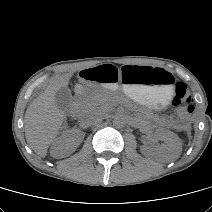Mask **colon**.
Segmentation results:
<instances>
[{
    "label": "colon",
    "mask_w": 212,
    "mask_h": 212,
    "mask_svg": "<svg viewBox=\"0 0 212 212\" xmlns=\"http://www.w3.org/2000/svg\"><path fill=\"white\" fill-rule=\"evenodd\" d=\"M173 105H175L184 116H188L193 112L194 97L186 84H176L173 97Z\"/></svg>",
    "instance_id": "5ec220e1"
}]
</instances>
